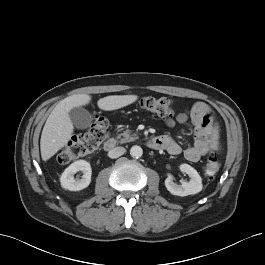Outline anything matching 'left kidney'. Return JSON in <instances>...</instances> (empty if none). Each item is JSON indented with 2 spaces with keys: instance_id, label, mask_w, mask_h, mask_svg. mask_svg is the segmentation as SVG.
<instances>
[{
  "instance_id": "obj_1",
  "label": "left kidney",
  "mask_w": 265,
  "mask_h": 265,
  "mask_svg": "<svg viewBox=\"0 0 265 265\" xmlns=\"http://www.w3.org/2000/svg\"><path fill=\"white\" fill-rule=\"evenodd\" d=\"M180 170L190 177V181L182 182L181 185L175 183L172 177H167L165 186L167 190L177 196H188L199 193L202 188V179L198 172L188 164L180 165Z\"/></svg>"
}]
</instances>
